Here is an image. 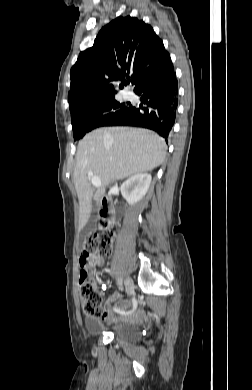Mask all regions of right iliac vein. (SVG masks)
Masks as SVG:
<instances>
[{"label": "right iliac vein", "mask_w": 252, "mask_h": 390, "mask_svg": "<svg viewBox=\"0 0 252 390\" xmlns=\"http://www.w3.org/2000/svg\"><path fill=\"white\" fill-rule=\"evenodd\" d=\"M126 293L131 295L134 291V284L131 278H127L125 281Z\"/></svg>", "instance_id": "obj_1"}]
</instances>
